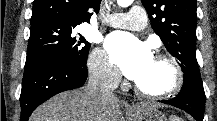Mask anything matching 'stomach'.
I'll return each instance as SVG.
<instances>
[{
  "mask_svg": "<svg viewBox=\"0 0 217 121\" xmlns=\"http://www.w3.org/2000/svg\"><path fill=\"white\" fill-rule=\"evenodd\" d=\"M140 121H166V117L155 108L146 107L140 113Z\"/></svg>",
  "mask_w": 217,
  "mask_h": 121,
  "instance_id": "1",
  "label": "stomach"
}]
</instances>
